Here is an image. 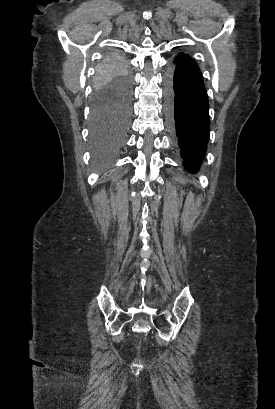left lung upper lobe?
I'll list each match as a JSON object with an SVG mask.
<instances>
[{
  "mask_svg": "<svg viewBox=\"0 0 275 409\" xmlns=\"http://www.w3.org/2000/svg\"><path fill=\"white\" fill-rule=\"evenodd\" d=\"M174 63L178 66L184 67L190 71L201 73L199 66L196 61L192 59L188 54L179 53L175 59Z\"/></svg>",
  "mask_w": 275,
  "mask_h": 409,
  "instance_id": "1",
  "label": "left lung upper lobe"
}]
</instances>
